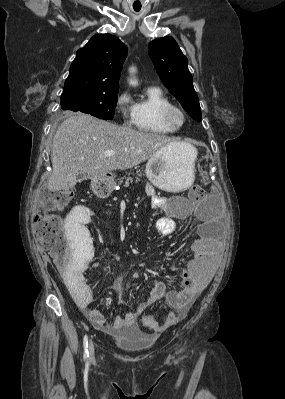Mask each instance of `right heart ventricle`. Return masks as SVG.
I'll return each mask as SVG.
<instances>
[{"instance_id":"e07e8e85","label":"right heart ventricle","mask_w":285,"mask_h":399,"mask_svg":"<svg viewBox=\"0 0 285 399\" xmlns=\"http://www.w3.org/2000/svg\"><path fill=\"white\" fill-rule=\"evenodd\" d=\"M171 104L170 99L162 89L151 86L146 90L145 97L137 100L134 105V127L142 132L166 135L173 133L172 129L164 124L161 111Z\"/></svg>"}]
</instances>
